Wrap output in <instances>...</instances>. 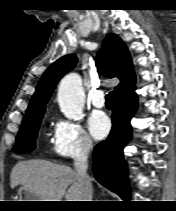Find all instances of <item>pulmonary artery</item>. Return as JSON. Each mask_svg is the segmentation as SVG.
I'll use <instances>...</instances> for the list:
<instances>
[{
	"mask_svg": "<svg viewBox=\"0 0 176 211\" xmlns=\"http://www.w3.org/2000/svg\"><path fill=\"white\" fill-rule=\"evenodd\" d=\"M91 103L97 108H102L105 105V95L103 90L97 89L91 96Z\"/></svg>",
	"mask_w": 176,
	"mask_h": 211,
	"instance_id": "pulmonary-artery-1",
	"label": "pulmonary artery"
}]
</instances>
